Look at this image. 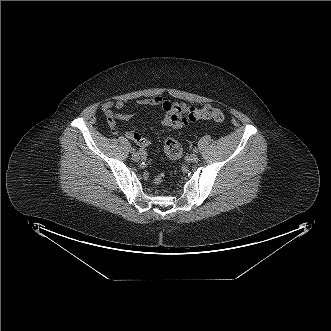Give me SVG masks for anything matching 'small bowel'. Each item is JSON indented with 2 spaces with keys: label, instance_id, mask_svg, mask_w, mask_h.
<instances>
[{
  "label": "small bowel",
  "instance_id": "obj_1",
  "mask_svg": "<svg viewBox=\"0 0 331 331\" xmlns=\"http://www.w3.org/2000/svg\"><path fill=\"white\" fill-rule=\"evenodd\" d=\"M142 106H160L163 110V117L159 124L161 129H174L179 130L187 127L190 123L184 120V116L190 112L194 107L185 102H172L171 100L162 96H153L150 98H145L139 101ZM125 107V102H105L102 105V111L107 119L108 125L111 128L112 133L117 134L116 129L117 120L126 121L129 120L133 114L121 112ZM125 137L128 140L135 142L141 148H147L151 145V141L147 138L141 136L136 131H128L125 133Z\"/></svg>",
  "mask_w": 331,
  "mask_h": 331
}]
</instances>
